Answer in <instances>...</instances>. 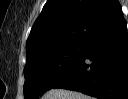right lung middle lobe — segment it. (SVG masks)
<instances>
[{
  "label": "right lung middle lobe",
  "mask_w": 128,
  "mask_h": 99,
  "mask_svg": "<svg viewBox=\"0 0 128 99\" xmlns=\"http://www.w3.org/2000/svg\"><path fill=\"white\" fill-rule=\"evenodd\" d=\"M84 42L71 43L27 59L23 87L25 99H35L53 88L78 63Z\"/></svg>",
  "instance_id": "obj_1"
}]
</instances>
